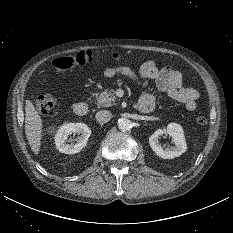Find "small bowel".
Segmentation results:
<instances>
[{
    "mask_svg": "<svg viewBox=\"0 0 233 233\" xmlns=\"http://www.w3.org/2000/svg\"><path fill=\"white\" fill-rule=\"evenodd\" d=\"M103 75L108 78L124 76L144 86L148 81H154L158 92L165 93L172 101L182 103L187 111L193 112L197 108L199 92L183 86V77L179 71L170 67L159 68L154 61L144 62L138 72L128 66H117L104 69ZM156 99V92H146L138 103L150 104L153 108Z\"/></svg>",
    "mask_w": 233,
    "mask_h": 233,
    "instance_id": "obj_1",
    "label": "small bowel"
}]
</instances>
